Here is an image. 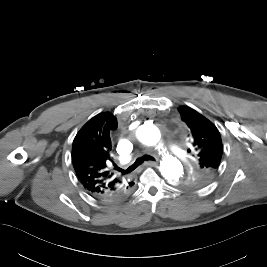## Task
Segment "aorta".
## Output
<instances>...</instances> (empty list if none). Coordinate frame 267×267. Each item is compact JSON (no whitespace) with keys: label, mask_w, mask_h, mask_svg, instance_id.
I'll return each mask as SVG.
<instances>
[{"label":"aorta","mask_w":267,"mask_h":267,"mask_svg":"<svg viewBox=\"0 0 267 267\" xmlns=\"http://www.w3.org/2000/svg\"><path fill=\"white\" fill-rule=\"evenodd\" d=\"M138 140L147 146H155L161 138L159 129L152 124H144L137 129ZM159 170L162 176L172 185H177L183 176V166L181 162L173 156L163 157Z\"/></svg>","instance_id":"762f6f07"}]
</instances>
